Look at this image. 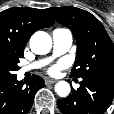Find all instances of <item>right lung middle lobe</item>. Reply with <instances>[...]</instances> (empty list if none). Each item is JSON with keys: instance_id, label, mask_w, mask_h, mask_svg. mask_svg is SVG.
<instances>
[{"instance_id": "obj_1", "label": "right lung middle lobe", "mask_w": 114, "mask_h": 114, "mask_svg": "<svg viewBox=\"0 0 114 114\" xmlns=\"http://www.w3.org/2000/svg\"><path fill=\"white\" fill-rule=\"evenodd\" d=\"M23 55L0 53V83L7 82L16 77L14 71L19 70L18 62Z\"/></svg>"}]
</instances>
